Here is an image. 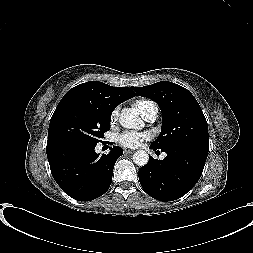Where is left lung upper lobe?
<instances>
[{"instance_id":"1","label":"left lung upper lobe","mask_w":253,"mask_h":253,"mask_svg":"<svg viewBox=\"0 0 253 253\" xmlns=\"http://www.w3.org/2000/svg\"><path fill=\"white\" fill-rule=\"evenodd\" d=\"M132 88L138 95L154 100L162 111L161 133L151 145L161 150L175 145L209 150L207 121L187 89L169 81Z\"/></svg>"}]
</instances>
